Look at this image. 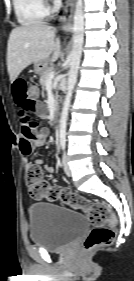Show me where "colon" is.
Masks as SVG:
<instances>
[{
	"instance_id": "1",
	"label": "colon",
	"mask_w": 134,
	"mask_h": 281,
	"mask_svg": "<svg viewBox=\"0 0 134 281\" xmlns=\"http://www.w3.org/2000/svg\"><path fill=\"white\" fill-rule=\"evenodd\" d=\"M39 96V86L30 84L28 87V97L30 100L36 101ZM25 180L29 193L33 198H45L49 201L60 202L72 208L83 210L88 215L93 229L84 241V249L86 251L110 245L114 241L116 218L105 203L91 202L67 188L50 185L44 180L43 171L39 166L28 167Z\"/></svg>"
}]
</instances>
